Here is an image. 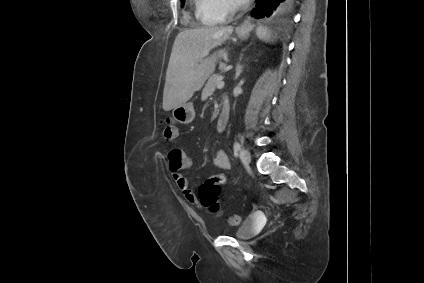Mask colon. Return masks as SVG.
Here are the masks:
<instances>
[{
	"instance_id": "colon-1",
	"label": "colon",
	"mask_w": 424,
	"mask_h": 283,
	"mask_svg": "<svg viewBox=\"0 0 424 283\" xmlns=\"http://www.w3.org/2000/svg\"><path fill=\"white\" fill-rule=\"evenodd\" d=\"M162 135L165 140L172 141L177 135V128L166 121ZM168 162L170 170L178 171L188 165L187 155L178 148H173L168 152ZM225 183V177L222 174H216L209 177L199 187V200L202 206L210 209L211 211H217L219 209L218 198L221 186ZM230 225H238L240 223V216L233 214L227 218Z\"/></svg>"
}]
</instances>
